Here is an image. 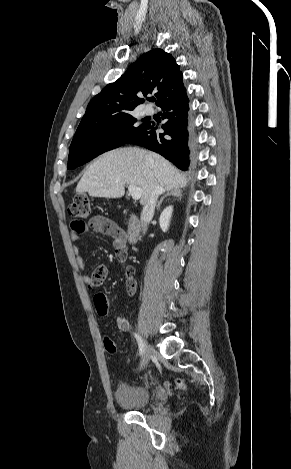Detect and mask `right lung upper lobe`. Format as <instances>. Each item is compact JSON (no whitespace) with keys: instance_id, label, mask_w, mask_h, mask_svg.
Here are the masks:
<instances>
[{"instance_id":"right-lung-upper-lobe-1","label":"right lung upper lobe","mask_w":291,"mask_h":469,"mask_svg":"<svg viewBox=\"0 0 291 469\" xmlns=\"http://www.w3.org/2000/svg\"><path fill=\"white\" fill-rule=\"evenodd\" d=\"M179 69L175 59L162 49L144 53L117 81L92 98L82 121L132 112L144 102L140 96L152 92L158 105L184 87Z\"/></svg>"}]
</instances>
